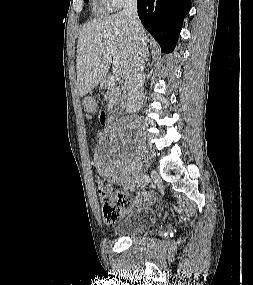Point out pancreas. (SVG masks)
Returning a JSON list of instances; mask_svg holds the SVG:
<instances>
[{"instance_id": "cf45deb5", "label": "pancreas", "mask_w": 253, "mask_h": 285, "mask_svg": "<svg viewBox=\"0 0 253 285\" xmlns=\"http://www.w3.org/2000/svg\"><path fill=\"white\" fill-rule=\"evenodd\" d=\"M125 88L122 82L116 80H110L108 85L107 97L109 104L112 106H119L125 99Z\"/></svg>"}]
</instances>
